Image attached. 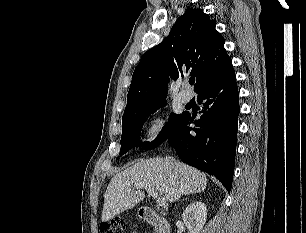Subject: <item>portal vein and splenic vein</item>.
<instances>
[{"instance_id": "1", "label": "portal vein and splenic vein", "mask_w": 306, "mask_h": 233, "mask_svg": "<svg viewBox=\"0 0 306 233\" xmlns=\"http://www.w3.org/2000/svg\"><path fill=\"white\" fill-rule=\"evenodd\" d=\"M134 188L136 189H145L147 190V192L153 197L156 198V202L159 206H164L166 204V199L162 196H158L157 192L155 191L154 188H152L151 186L147 185V184H137L134 186Z\"/></svg>"}]
</instances>
